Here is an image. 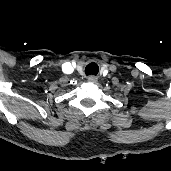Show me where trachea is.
Wrapping results in <instances>:
<instances>
[{
	"label": "trachea",
	"instance_id": "3493384b",
	"mask_svg": "<svg viewBox=\"0 0 171 171\" xmlns=\"http://www.w3.org/2000/svg\"><path fill=\"white\" fill-rule=\"evenodd\" d=\"M99 72V67L96 63H89L85 68L86 75H97Z\"/></svg>",
	"mask_w": 171,
	"mask_h": 171
}]
</instances>
